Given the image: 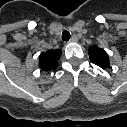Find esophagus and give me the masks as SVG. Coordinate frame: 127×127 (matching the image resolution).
I'll return each mask as SVG.
<instances>
[{"label": "esophagus", "instance_id": "obj_1", "mask_svg": "<svg viewBox=\"0 0 127 127\" xmlns=\"http://www.w3.org/2000/svg\"><path fill=\"white\" fill-rule=\"evenodd\" d=\"M78 41V37L76 36V35H73L71 38H70V40H69V42H72V43H76Z\"/></svg>", "mask_w": 127, "mask_h": 127}]
</instances>
